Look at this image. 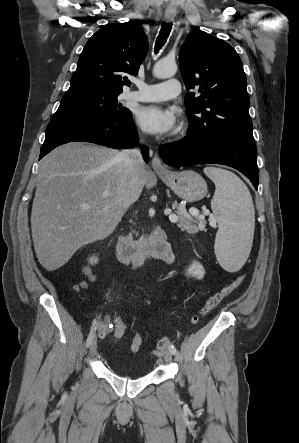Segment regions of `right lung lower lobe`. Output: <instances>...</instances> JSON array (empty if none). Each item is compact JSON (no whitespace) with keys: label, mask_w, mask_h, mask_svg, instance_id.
I'll return each mask as SVG.
<instances>
[{"label":"right lung lower lobe","mask_w":299,"mask_h":443,"mask_svg":"<svg viewBox=\"0 0 299 443\" xmlns=\"http://www.w3.org/2000/svg\"><path fill=\"white\" fill-rule=\"evenodd\" d=\"M91 142L114 149L130 148L136 145L138 133L132 114L122 117L103 118L56 115L51 118L40 157L52 149L69 142ZM145 161L149 160L148 149L142 150Z\"/></svg>","instance_id":"98d812e1"}]
</instances>
